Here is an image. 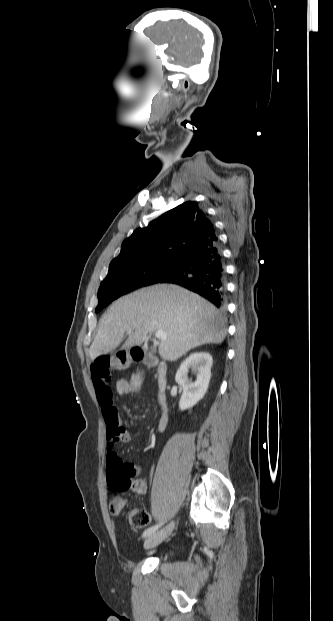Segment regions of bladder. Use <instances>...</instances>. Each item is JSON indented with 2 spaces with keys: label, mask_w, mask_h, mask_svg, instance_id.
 <instances>
[{
  "label": "bladder",
  "mask_w": 333,
  "mask_h": 621,
  "mask_svg": "<svg viewBox=\"0 0 333 621\" xmlns=\"http://www.w3.org/2000/svg\"><path fill=\"white\" fill-rule=\"evenodd\" d=\"M173 555V549L166 548L160 553V557L162 558H171Z\"/></svg>",
  "instance_id": "obj_1"
}]
</instances>
